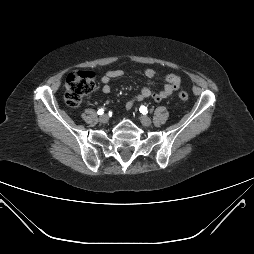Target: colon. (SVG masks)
<instances>
[{"instance_id": "1", "label": "colon", "mask_w": 254, "mask_h": 254, "mask_svg": "<svg viewBox=\"0 0 254 254\" xmlns=\"http://www.w3.org/2000/svg\"><path fill=\"white\" fill-rule=\"evenodd\" d=\"M95 88V76L90 71H74L70 73L65 83L64 99L68 106L77 107L84 96ZM181 101L188 100V94L181 91L178 94Z\"/></svg>"}]
</instances>
